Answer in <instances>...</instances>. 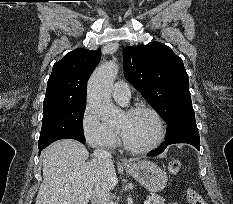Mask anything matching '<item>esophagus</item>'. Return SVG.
I'll return each instance as SVG.
<instances>
[{"mask_svg": "<svg viewBox=\"0 0 233 204\" xmlns=\"http://www.w3.org/2000/svg\"><path fill=\"white\" fill-rule=\"evenodd\" d=\"M121 161L124 165H128L130 163V161L126 158H122Z\"/></svg>", "mask_w": 233, "mask_h": 204, "instance_id": "obj_1", "label": "esophagus"}]
</instances>
